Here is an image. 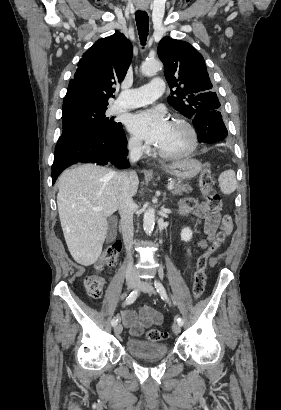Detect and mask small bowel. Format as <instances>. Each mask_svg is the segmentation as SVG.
I'll return each instance as SVG.
<instances>
[{"mask_svg":"<svg viewBox=\"0 0 281 410\" xmlns=\"http://www.w3.org/2000/svg\"><path fill=\"white\" fill-rule=\"evenodd\" d=\"M198 205L193 199H185L178 206V212L181 215H186L190 211L196 210ZM192 222L202 225L203 235L197 240L198 249H204L208 241L213 239V236L218 228L220 218L217 214H209L202 218H193ZM232 223L225 226V232L230 233ZM187 266L189 267L192 259V250L187 249L185 255ZM121 319L124 325L130 330L132 335H138L145 327L152 325H160L163 321V316L150 306L144 305L138 309V315L132 309H125L121 312Z\"/></svg>","mask_w":281,"mask_h":410,"instance_id":"small-bowel-1","label":"small bowel"}]
</instances>
